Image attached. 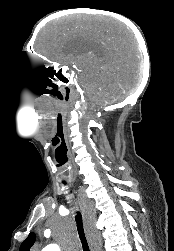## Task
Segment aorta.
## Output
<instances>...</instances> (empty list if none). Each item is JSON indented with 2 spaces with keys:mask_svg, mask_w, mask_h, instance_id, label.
I'll return each instance as SVG.
<instances>
[{
  "mask_svg": "<svg viewBox=\"0 0 174 251\" xmlns=\"http://www.w3.org/2000/svg\"><path fill=\"white\" fill-rule=\"evenodd\" d=\"M42 251H60V248L56 244L47 245Z\"/></svg>",
  "mask_w": 174,
  "mask_h": 251,
  "instance_id": "obj_1",
  "label": "aorta"
}]
</instances>
